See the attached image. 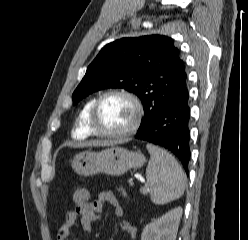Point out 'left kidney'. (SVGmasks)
Wrapping results in <instances>:
<instances>
[{
    "label": "left kidney",
    "mask_w": 248,
    "mask_h": 240,
    "mask_svg": "<svg viewBox=\"0 0 248 240\" xmlns=\"http://www.w3.org/2000/svg\"><path fill=\"white\" fill-rule=\"evenodd\" d=\"M182 211L181 207H177L147 224L141 240H176Z\"/></svg>",
    "instance_id": "1"
}]
</instances>
